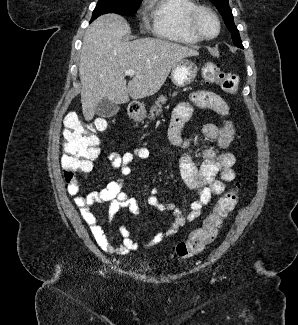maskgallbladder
<instances>
[{"mask_svg": "<svg viewBox=\"0 0 298 325\" xmlns=\"http://www.w3.org/2000/svg\"><path fill=\"white\" fill-rule=\"evenodd\" d=\"M118 110V104L111 102V100H108L105 96V98H102V100L98 102L95 112L98 116H101V118H108V116H114V114H117Z\"/></svg>", "mask_w": 298, "mask_h": 325, "instance_id": "bac80fb5", "label": "gallbladder"}]
</instances>
